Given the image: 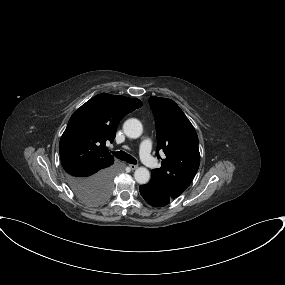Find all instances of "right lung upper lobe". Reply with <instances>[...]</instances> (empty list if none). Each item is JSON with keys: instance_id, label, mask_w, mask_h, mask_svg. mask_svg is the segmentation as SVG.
I'll list each match as a JSON object with an SVG mask.
<instances>
[{"instance_id": "cb5924a9", "label": "right lung upper lobe", "mask_w": 285, "mask_h": 285, "mask_svg": "<svg viewBox=\"0 0 285 285\" xmlns=\"http://www.w3.org/2000/svg\"><path fill=\"white\" fill-rule=\"evenodd\" d=\"M142 106L139 99L102 93L96 95L71 116L60 143L64 170L83 164L94 167L114 163L105 144L113 142L119 121Z\"/></svg>"}]
</instances>
